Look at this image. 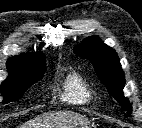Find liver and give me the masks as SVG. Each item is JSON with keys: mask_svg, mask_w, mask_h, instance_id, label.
I'll return each mask as SVG.
<instances>
[{"mask_svg": "<svg viewBox=\"0 0 142 128\" xmlns=\"http://www.w3.org/2000/svg\"><path fill=\"white\" fill-rule=\"evenodd\" d=\"M83 122H88V119L79 113L72 111H53L27 121L20 128H75Z\"/></svg>", "mask_w": 142, "mask_h": 128, "instance_id": "1", "label": "liver"}]
</instances>
